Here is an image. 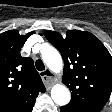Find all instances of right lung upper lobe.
<instances>
[{
  "label": "right lung upper lobe",
  "instance_id": "cb5924a9",
  "mask_svg": "<svg viewBox=\"0 0 112 112\" xmlns=\"http://www.w3.org/2000/svg\"><path fill=\"white\" fill-rule=\"evenodd\" d=\"M30 35L0 34V112H31L39 92H45L33 60L20 54Z\"/></svg>",
  "mask_w": 112,
  "mask_h": 112
}]
</instances>
